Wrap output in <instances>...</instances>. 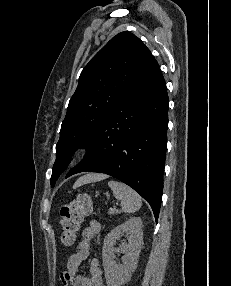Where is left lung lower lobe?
<instances>
[{"instance_id":"left-lung-lower-lobe-1","label":"left lung lower lobe","mask_w":231,"mask_h":286,"mask_svg":"<svg viewBox=\"0 0 231 286\" xmlns=\"http://www.w3.org/2000/svg\"><path fill=\"white\" fill-rule=\"evenodd\" d=\"M168 96L157 65L112 109L67 177L85 171L111 175L138 192L157 221L167 147Z\"/></svg>"}]
</instances>
